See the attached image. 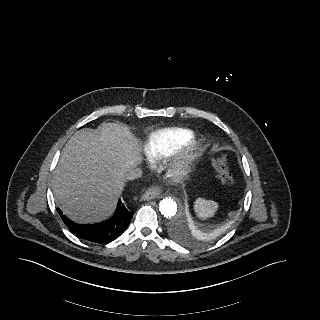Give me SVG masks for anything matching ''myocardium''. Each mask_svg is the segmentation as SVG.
<instances>
[{
    "instance_id": "f54148a6",
    "label": "myocardium",
    "mask_w": 320,
    "mask_h": 320,
    "mask_svg": "<svg viewBox=\"0 0 320 320\" xmlns=\"http://www.w3.org/2000/svg\"><path fill=\"white\" fill-rule=\"evenodd\" d=\"M199 146L196 141H191L185 148L180 159L175 163L171 173L176 177H184L188 174L194 160L197 158Z\"/></svg>"
}]
</instances>
